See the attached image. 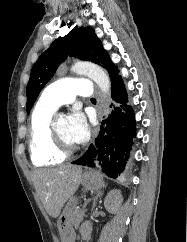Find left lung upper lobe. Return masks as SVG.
Instances as JSON below:
<instances>
[{"label": "left lung upper lobe", "mask_w": 187, "mask_h": 242, "mask_svg": "<svg viewBox=\"0 0 187 242\" xmlns=\"http://www.w3.org/2000/svg\"><path fill=\"white\" fill-rule=\"evenodd\" d=\"M67 55L79 57L81 60L91 61L102 66L108 71L111 82L119 76L118 69L111 62L94 30L90 27L73 29L66 36L56 39L32 68L26 88V108L28 112L44 85L53 77L58 66L67 58Z\"/></svg>", "instance_id": "1"}]
</instances>
